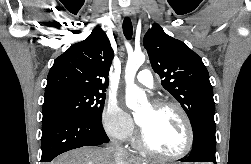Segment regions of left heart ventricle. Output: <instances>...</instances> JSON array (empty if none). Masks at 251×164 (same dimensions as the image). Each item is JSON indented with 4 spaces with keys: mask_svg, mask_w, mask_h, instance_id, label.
I'll list each match as a JSON object with an SVG mask.
<instances>
[{
    "mask_svg": "<svg viewBox=\"0 0 251 164\" xmlns=\"http://www.w3.org/2000/svg\"><path fill=\"white\" fill-rule=\"evenodd\" d=\"M147 142L166 154L181 152L187 140L185 125L180 115L172 108H155L147 105L137 114Z\"/></svg>",
    "mask_w": 251,
    "mask_h": 164,
    "instance_id": "1",
    "label": "left heart ventricle"
}]
</instances>
